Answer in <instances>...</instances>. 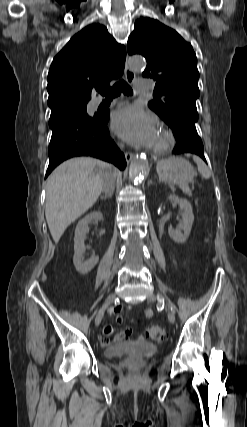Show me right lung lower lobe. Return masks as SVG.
<instances>
[{
	"mask_svg": "<svg viewBox=\"0 0 247 427\" xmlns=\"http://www.w3.org/2000/svg\"><path fill=\"white\" fill-rule=\"evenodd\" d=\"M109 113L89 117L72 111L51 113L49 126L52 137L49 144V166L46 177L66 159L92 156L115 164L120 170L126 166L123 153L109 135Z\"/></svg>",
	"mask_w": 247,
	"mask_h": 427,
	"instance_id": "right-lung-lower-lobe-1",
	"label": "right lung lower lobe"
}]
</instances>
